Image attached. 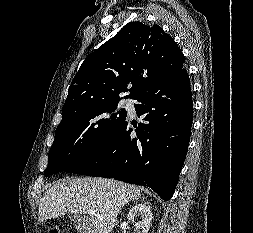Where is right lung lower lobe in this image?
I'll list each match as a JSON object with an SVG mask.
<instances>
[{"label":"right lung lower lobe","mask_w":253,"mask_h":233,"mask_svg":"<svg viewBox=\"0 0 253 233\" xmlns=\"http://www.w3.org/2000/svg\"><path fill=\"white\" fill-rule=\"evenodd\" d=\"M134 99L144 121L133 124L137 137L125 119L103 148L64 171L149 186L169 200L190 141L193 102L187 70L161 77Z\"/></svg>","instance_id":"obj_1"}]
</instances>
